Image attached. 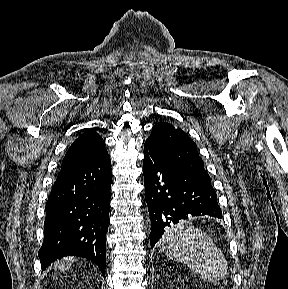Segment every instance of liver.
<instances>
[{"label": "liver", "mask_w": 288, "mask_h": 289, "mask_svg": "<svg viewBox=\"0 0 288 289\" xmlns=\"http://www.w3.org/2000/svg\"><path fill=\"white\" fill-rule=\"evenodd\" d=\"M75 260H76L75 258L68 257L58 261L55 266L61 270H67L72 267V264Z\"/></svg>", "instance_id": "6515ba94"}]
</instances>
